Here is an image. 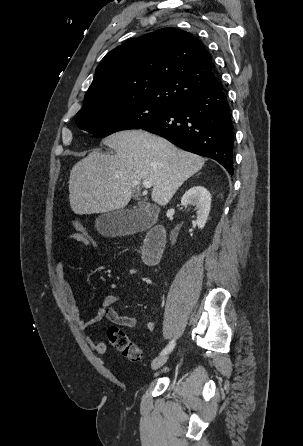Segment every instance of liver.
Instances as JSON below:
<instances>
[{
	"label": "liver",
	"mask_w": 303,
	"mask_h": 446,
	"mask_svg": "<svg viewBox=\"0 0 303 446\" xmlns=\"http://www.w3.org/2000/svg\"><path fill=\"white\" fill-rule=\"evenodd\" d=\"M114 155L89 153L71 169L69 201L74 213H105L125 207L134 182L152 181V200L165 206L204 165L202 157L142 130L121 131L103 140Z\"/></svg>",
	"instance_id": "obj_1"
}]
</instances>
